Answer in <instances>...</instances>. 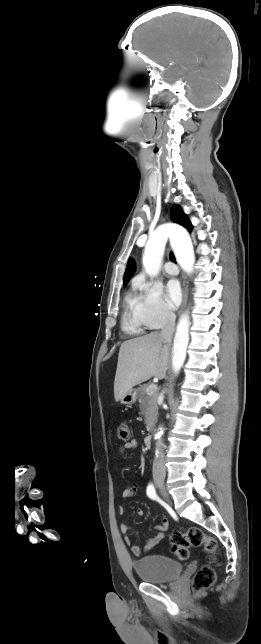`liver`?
I'll list each match as a JSON object with an SVG mask.
<instances>
[{
  "label": "liver",
  "mask_w": 261,
  "mask_h": 644,
  "mask_svg": "<svg viewBox=\"0 0 261 644\" xmlns=\"http://www.w3.org/2000/svg\"><path fill=\"white\" fill-rule=\"evenodd\" d=\"M168 361L169 342L158 332L123 342L114 380L115 400L119 401L134 386L153 376L165 378Z\"/></svg>",
  "instance_id": "liver-1"
}]
</instances>
